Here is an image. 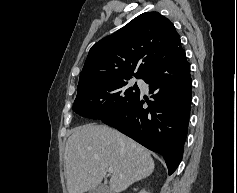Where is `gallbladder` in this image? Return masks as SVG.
Listing matches in <instances>:
<instances>
[{
	"mask_svg": "<svg viewBox=\"0 0 237 193\" xmlns=\"http://www.w3.org/2000/svg\"><path fill=\"white\" fill-rule=\"evenodd\" d=\"M89 193H110L109 188L104 184H98L93 187Z\"/></svg>",
	"mask_w": 237,
	"mask_h": 193,
	"instance_id": "obj_1",
	"label": "gallbladder"
}]
</instances>
